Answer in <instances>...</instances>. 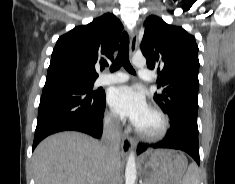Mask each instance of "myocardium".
Returning a JSON list of instances; mask_svg holds the SVG:
<instances>
[{
    "instance_id": "f54148a6",
    "label": "myocardium",
    "mask_w": 235,
    "mask_h": 184,
    "mask_svg": "<svg viewBox=\"0 0 235 184\" xmlns=\"http://www.w3.org/2000/svg\"><path fill=\"white\" fill-rule=\"evenodd\" d=\"M150 110L157 116L159 120L158 128L150 133H145L138 128H135L134 132L138 139L147 142H154L163 139L168 134L170 129V119L168 115L157 106L150 107Z\"/></svg>"
}]
</instances>
